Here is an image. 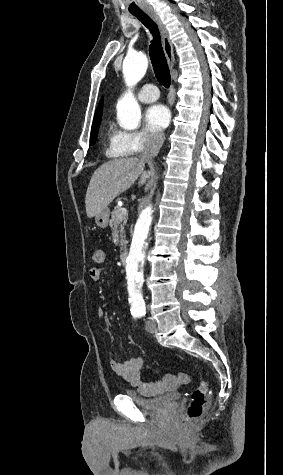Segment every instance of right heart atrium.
<instances>
[{
  "label": "right heart atrium",
  "mask_w": 283,
  "mask_h": 475,
  "mask_svg": "<svg viewBox=\"0 0 283 475\" xmlns=\"http://www.w3.org/2000/svg\"><path fill=\"white\" fill-rule=\"evenodd\" d=\"M163 144L160 134L148 130L118 131L111 143L110 153L123 159V155H145L158 150Z\"/></svg>",
  "instance_id": "1"
}]
</instances>
